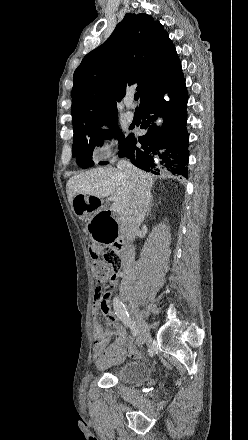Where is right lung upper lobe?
<instances>
[{
    "mask_svg": "<svg viewBox=\"0 0 248 440\" xmlns=\"http://www.w3.org/2000/svg\"><path fill=\"white\" fill-rule=\"evenodd\" d=\"M173 43L159 21L127 13L112 35L88 53L73 75L74 135L117 123V101L137 84L140 104L183 79Z\"/></svg>",
    "mask_w": 248,
    "mask_h": 440,
    "instance_id": "cb5924a9",
    "label": "right lung upper lobe"
}]
</instances>
